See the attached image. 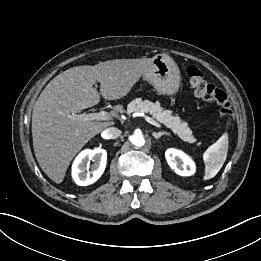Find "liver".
I'll return each instance as SVG.
<instances>
[{
    "label": "liver",
    "mask_w": 261,
    "mask_h": 261,
    "mask_svg": "<svg viewBox=\"0 0 261 261\" xmlns=\"http://www.w3.org/2000/svg\"><path fill=\"white\" fill-rule=\"evenodd\" d=\"M152 58L115 59L94 66L65 70L52 79L38 97L32 112L35 157L41 169L55 183L64 180L74 156L94 136L113 122H79L69 116L100 102L126 96L148 71ZM100 83V93L93 87ZM113 115L123 112L116 105Z\"/></svg>",
    "instance_id": "1"
}]
</instances>
